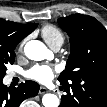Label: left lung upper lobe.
I'll use <instances>...</instances> for the list:
<instances>
[{"instance_id": "1", "label": "left lung upper lobe", "mask_w": 107, "mask_h": 107, "mask_svg": "<svg viewBox=\"0 0 107 107\" xmlns=\"http://www.w3.org/2000/svg\"><path fill=\"white\" fill-rule=\"evenodd\" d=\"M58 23L71 44L66 69L58 80L72 92V107H79L82 84L107 83V31L95 18L82 14L59 18Z\"/></svg>"}]
</instances>
